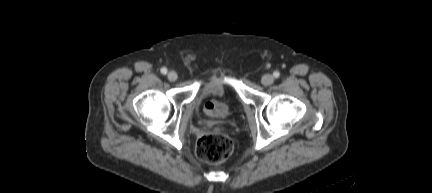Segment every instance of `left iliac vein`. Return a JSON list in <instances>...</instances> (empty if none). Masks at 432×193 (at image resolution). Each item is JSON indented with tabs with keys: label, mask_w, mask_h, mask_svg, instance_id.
I'll use <instances>...</instances> for the list:
<instances>
[{
	"label": "left iliac vein",
	"mask_w": 432,
	"mask_h": 193,
	"mask_svg": "<svg viewBox=\"0 0 432 193\" xmlns=\"http://www.w3.org/2000/svg\"><path fill=\"white\" fill-rule=\"evenodd\" d=\"M261 82L265 86L271 85L274 82V77L271 74H265L262 76Z\"/></svg>",
	"instance_id": "obj_1"
}]
</instances>
